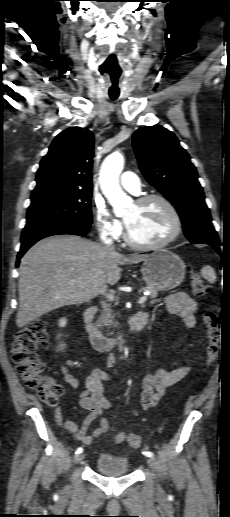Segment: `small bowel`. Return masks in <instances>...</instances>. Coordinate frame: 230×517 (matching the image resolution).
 <instances>
[{
    "mask_svg": "<svg viewBox=\"0 0 230 517\" xmlns=\"http://www.w3.org/2000/svg\"><path fill=\"white\" fill-rule=\"evenodd\" d=\"M164 303L168 311L172 314L180 316L189 328L196 324L197 304L196 302L183 292L172 294L165 298ZM61 370L65 381L73 388L78 389L80 382L71 373L69 367L61 362ZM189 365L168 370L165 368L148 372L142 381L141 407L143 410L154 408L161 398L164 396L168 387L178 383L189 372ZM111 377L107 371L101 368H95L86 377L84 381V389L78 396L80 406L89 413L81 424L74 423L63 418L61 407L54 409V421L59 429H66L74 439L81 441L85 445H90L95 438L106 434L109 424L106 420H101L99 425L88 432L91 424L99 418L103 411L111 409L113 404L104 396L103 382L110 381ZM117 444L128 442L127 433L119 432L115 436ZM133 447V446H132ZM138 448V447H134Z\"/></svg>",
    "mask_w": 230,
    "mask_h": 517,
    "instance_id": "obj_1",
    "label": "small bowel"
}]
</instances>
